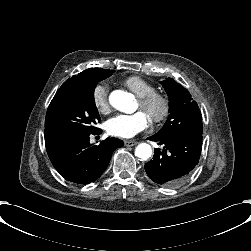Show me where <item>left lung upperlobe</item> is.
<instances>
[{"mask_svg":"<svg viewBox=\"0 0 251 251\" xmlns=\"http://www.w3.org/2000/svg\"><path fill=\"white\" fill-rule=\"evenodd\" d=\"M169 97V117L155 134L164 139L183 133H203L202 116L197 103L186 88L172 78L160 82Z\"/></svg>","mask_w":251,"mask_h":251,"instance_id":"1","label":"left lung upper lobe"}]
</instances>
